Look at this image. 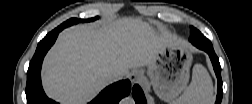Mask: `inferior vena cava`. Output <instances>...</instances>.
I'll return each mask as SVG.
<instances>
[{
    "label": "inferior vena cava",
    "mask_w": 252,
    "mask_h": 104,
    "mask_svg": "<svg viewBox=\"0 0 252 104\" xmlns=\"http://www.w3.org/2000/svg\"><path fill=\"white\" fill-rule=\"evenodd\" d=\"M105 76L111 81H117L123 77V73L119 71H109Z\"/></svg>",
    "instance_id": "inferior-vena-cava-1"
}]
</instances>
